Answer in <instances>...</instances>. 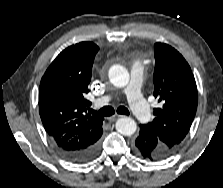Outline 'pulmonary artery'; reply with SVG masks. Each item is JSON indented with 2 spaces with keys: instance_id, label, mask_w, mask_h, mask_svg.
Segmentation results:
<instances>
[{
  "instance_id": "1",
  "label": "pulmonary artery",
  "mask_w": 223,
  "mask_h": 188,
  "mask_svg": "<svg viewBox=\"0 0 223 188\" xmlns=\"http://www.w3.org/2000/svg\"><path fill=\"white\" fill-rule=\"evenodd\" d=\"M144 74V64L141 60H136L131 66L130 84L125 90L129 104L133 113L142 122H148L151 119V111L142 95L141 86ZM111 96L105 95L96 100L100 106L110 102Z\"/></svg>"
}]
</instances>
